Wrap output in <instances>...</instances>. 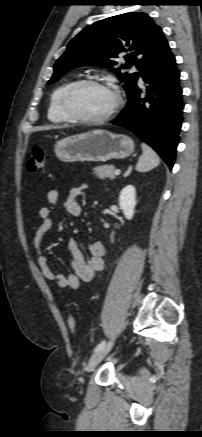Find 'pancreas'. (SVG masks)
Masks as SVG:
<instances>
[{
    "mask_svg": "<svg viewBox=\"0 0 202 437\" xmlns=\"http://www.w3.org/2000/svg\"><path fill=\"white\" fill-rule=\"evenodd\" d=\"M93 174L99 179H114L115 176V166L114 165H103L94 168Z\"/></svg>",
    "mask_w": 202,
    "mask_h": 437,
    "instance_id": "1",
    "label": "pancreas"
}]
</instances>
